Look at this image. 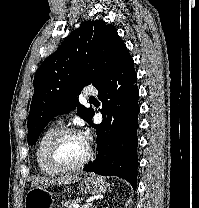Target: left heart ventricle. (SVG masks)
<instances>
[{
  "mask_svg": "<svg viewBox=\"0 0 199 208\" xmlns=\"http://www.w3.org/2000/svg\"><path fill=\"white\" fill-rule=\"evenodd\" d=\"M87 155V144L83 136L71 134L66 136L57 149L58 159L65 165H75Z\"/></svg>",
  "mask_w": 199,
  "mask_h": 208,
  "instance_id": "obj_1",
  "label": "left heart ventricle"
}]
</instances>
